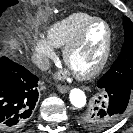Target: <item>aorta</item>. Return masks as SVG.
Masks as SVG:
<instances>
[{"label": "aorta", "mask_w": 133, "mask_h": 133, "mask_svg": "<svg viewBox=\"0 0 133 133\" xmlns=\"http://www.w3.org/2000/svg\"><path fill=\"white\" fill-rule=\"evenodd\" d=\"M69 98L71 104L77 109L83 108L86 105V95L81 89H72Z\"/></svg>", "instance_id": "1"}]
</instances>
